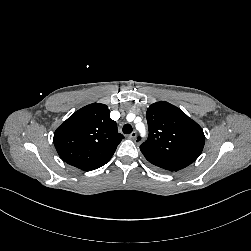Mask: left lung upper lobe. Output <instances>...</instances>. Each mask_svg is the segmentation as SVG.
Here are the masks:
<instances>
[{
	"label": "left lung upper lobe",
	"mask_w": 251,
	"mask_h": 251,
	"mask_svg": "<svg viewBox=\"0 0 251 251\" xmlns=\"http://www.w3.org/2000/svg\"><path fill=\"white\" fill-rule=\"evenodd\" d=\"M146 118L149 135L140 150L152 165L173 172L199 157L205 143L203 130L181 109L157 102L147 109Z\"/></svg>",
	"instance_id": "obj_1"
}]
</instances>
